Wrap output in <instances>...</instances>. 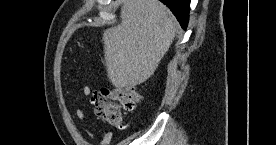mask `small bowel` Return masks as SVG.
Segmentation results:
<instances>
[{"label":"small bowel","instance_id":"1","mask_svg":"<svg viewBox=\"0 0 276 145\" xmlns=\"http://www.w3.org/2000/svg\"><path fill=\"white\" fill-rule=\"evenodd\" d=\"M82 93H83L84 97L87 99V101L91 103L92 91H91L90 87L87 85L83 86ZM77 116L82 120L86 119L85 107H81L77 110ZM84 133L86 134V136H88L90 138L93 137L92 132L87 129L84 130ZM111 140H112V133L109 131H106L103 133L100 144L101 145H110Z\"/></svg>","mask_w":276,"mask_h":145}]
</instances>
